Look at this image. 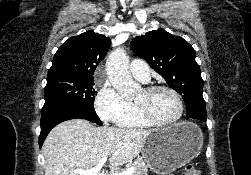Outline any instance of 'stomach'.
<instances>
[{
    "mask_svg": "<svg viewBox=\"0 0 251 175\" xmlns=\"http://www.w3.org/2000/svg\"><path fill=\"white\" fill-rule=\"evenodd\" d=\"M203 139V131L197 123L180 121L151 131L142 147L141 157L151 171L165 175L198 155Z\"/></svg>",
    "mask_w": 251,
    "mask_h": 175,
    "instance_id": "stomach-1",
    "label": "stomach"
}]
</instances>
